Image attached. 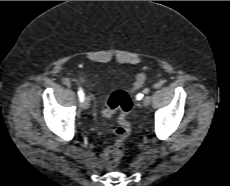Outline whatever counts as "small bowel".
<instances>
[{
    "instance_id": "1",
    "label": "small bowel",
    "mask_w": 230,
    "mask_h": 186,
    "mask_svg": "<svg viewBox=\"0 0 230 186\" xmlns=\"http://www.w3.org/2000/svg\"><path fill=\"white\" fill-rule=\"evenodd\" d=\"M79 79L81 82H85L86 81V78L82 75H79ZM134 89H138V88H134Z\"/></svg>"
}]
</instances>
